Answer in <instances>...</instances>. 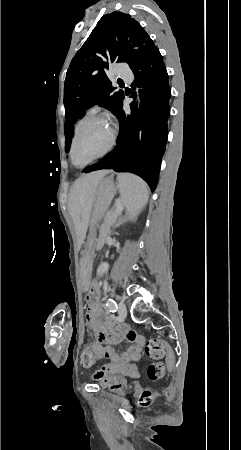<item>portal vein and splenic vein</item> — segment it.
Here are the masks:
<instances>
[{"label":"portal vein and splenic vein","mask_w":241,"mask_h":450,"mask_svg":"<svg viewBox=\"0 0 241 450\" xmlns=\"http://www.w3.org/2000/svg\"><path fill=\"white\" fill-rule=\"evenodd\" d=\"M124 207V202H119V204H113V209H115L114 211L118 214L122 213V208Z\"/></svg>","instance_id":"obj_1"}]
</instances>
